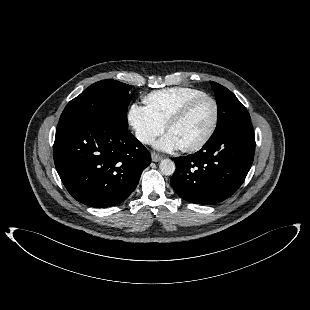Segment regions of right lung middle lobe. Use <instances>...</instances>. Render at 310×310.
<instances>
[{
	"mask_svg": "<svg viewBox=\"0 0 310 310\" xmlns=\"http://www.w3.org/2000/svg\"><path fill=\"white\" fill-rule=\"evenodd\" d=\"M130 89L128 84L116 80L98 81L67 104L59 123L83 119L107 124L117 129H127Z\"/></svg>",
	"mask_w": 310,
	"mask_h": 310,
	"instance_id": "1",
	"label": "right lung middle lobe"
}]
</instances>
